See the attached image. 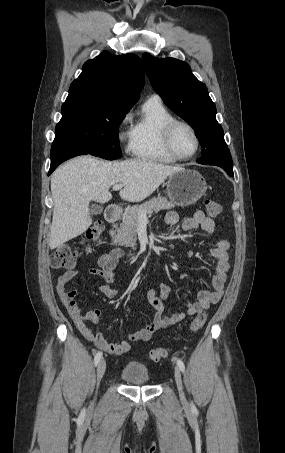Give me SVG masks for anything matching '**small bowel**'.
Returning a JSON list of instances; mask_svg holds the SVG:
<instances>
[{
  "instance_id": "obj_1",
  "label": "small bowel",
  "mask_w": 285,
  "mask_h": 453,
  "mask_svg": "<svg viewBox=\"0 0 285 453\" xmlns=\"http://www.w3.org/2000/svg\"><path fill=\"white\" fill-rule=\"evenodd\" d=\"M178 220L179 217L175 212L171 211L165 215V222L169 226L176 225ZM181 227L184 231L199 228L206 234L212 235L215 232L216 225L211 217L198 211L193 216L186 218L182 222ZM229 247L230 244L228 241L220 240L210 248V254L216 261L212 278V290H200L197 293L195 301L188 300L185 303L184 312H168V309L164 304V301L169 294V288L166 284H160V295L154 290L147 291L146 298L154 310V319L150 324L135 332L129 333L128 338L132 341H148L158 330L172 326L182 321L186 316H192L205 311L210 305L217 303L224 294L227 274L230 268L228 257ZM122 254V250L120 249H114L108 253L102 254L98 259L97 267L89 269L87 274L90 277H96L103 281V283L98 286V290L108 299H115L118 296L113 270L122 257ZM77 274L78 272L76 270L66 271L59 276L56 285L58 296L65 310L72 318L76 328L85 339L92 342L100 350L113 355H121L128 352L131 347L129 341L123 340L121 342L111 343L106 340L98 328L93 331L87 325L88 322L98 325L103 315V310L97 309L87 314H82L80 312L75 301L77 294L76 290L67 289V284L71 279L76 277ZM182 277L185 278L187 275L183 274ZM79 280L82 281L83 277Z\"/></svg>"
}]
</instances>
